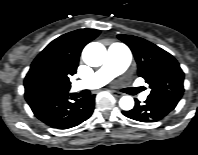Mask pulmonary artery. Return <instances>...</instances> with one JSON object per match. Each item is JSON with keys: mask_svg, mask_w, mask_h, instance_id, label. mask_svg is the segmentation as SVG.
<instances>
[{"mask_svg": "<svg viewBox=\"0 0 198 155\" xmlns=\"http://www.w3.org/2000/svg\"><path fill=\"white\" fill-rule=\"evenodd\" d=\"M131 55L122 44H113L108 48L107 58L103 66L90 77L75 81L72 84L74 91L82 89H96L109 83L113 78L123 73L129 66ZM146 99V94L140 96Z\"/></svg>", "mask_w": 198, "mask_h": 155, "instance_id": "e3ab8cb5", "label": "pulmonary artery"}]
</instances>
